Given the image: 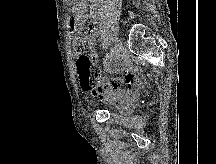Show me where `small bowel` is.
Returning <instances> with one entry per match:
<instances>
[{
  "label": "small bowel",
  "mask_w": 216,
  "mask_h": 164,
  "mask_svg": "<svg viewBox=\"0 0 216 164\" xmlns=\"http://www.w3.org/2000/svg\"><path fill=\"white\" fill-rule=\"evenodd\" d=\"M96 36L97 28L94 24H90L85 36L81 39L84 46L93 49L96 44ZM91 56L95 58L96 55L92 53ZM120 67L124 73L123 77L112 79L104 77L99 87L93 91V97L102 102L113 104L118 109H127L136 99L140 84L127 61L122 62ZM107 69L112 70V67L108 64Z\"/></svg>",
  "instance_id": "1"
}]
</instances>
